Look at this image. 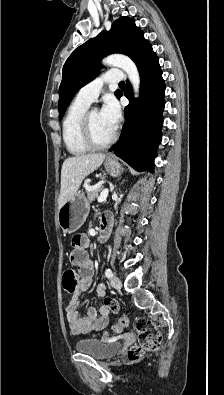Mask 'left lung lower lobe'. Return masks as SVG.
<instances>
[{
	"label": "left lung lower lobe",
	"mask_w": 224,
	"mask_h": 395,
	"mask_svg": "<svg viewBox=\"0 0 224 395\" xmlns=\"http://www.w3.org/2000/svg\"><path fill=\"white\" fill-rule=\"evenodd\" d=\"M134 62L141 77L140 97L134 100L127 81L124 95L130 103L124 110L125 124L120 140L110 150L135 170L153 172L154 151L161 142L165 83L158 57L150 44L136 56ZM121 96L122 93L117 95L118 98Z\"/></svg>",
	"instance_id": "left-lung-lower-lobe-1"
}]
</instances>
